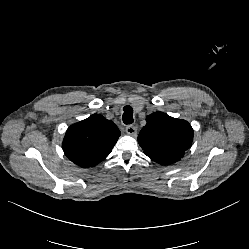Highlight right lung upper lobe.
<instances>
[{
  "label": "right lung upper lobe",
  "mask_w": 249,
  "mask_h": 249,
  "mask_svg": "<svg viewBox=\"0 0 249 249\" xmlns=\"http://www.w3.org/2000/svg\"><path fill=\"white\" fill-rule=\"evenodd\" d=\"M120 134L112 121L94 114L68 128L62 148L74 164L93 167L110 154Z\"/></svg>",
  "instance_id": "right-lung-upper-lobe-1"
}]
</instances>
